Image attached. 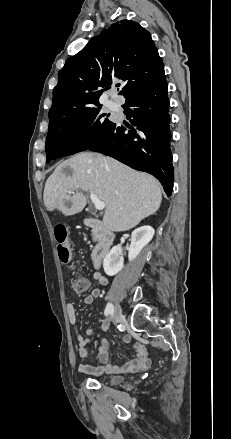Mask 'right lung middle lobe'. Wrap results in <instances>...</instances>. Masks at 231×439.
<instances>
[{
  "instance_id": "obj_1",
  "label": "right lung middle lobe",
  "mask_w": 231,
  "mask_h": 439,
  "mask_svg": "<svg viewBox=\"0 0 231 439\" xmlns=\"http://www.w3.org/2000/svg\"><path fill=\"white\" fill-rule=\"evenodd\" d=\"M104 116L98 107H92L49 122L46 162L88 150L114 124Z\"/></svg>"
}]
</instances>
